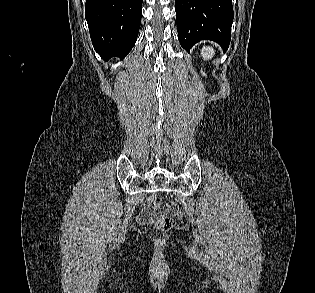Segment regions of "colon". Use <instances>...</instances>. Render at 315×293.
Listing matches in <instances>:
<instances>
[{
    "label": "colon",
    "instance_id": "colon-1",
    "mask_svg": "<svg viewBox=\"0 0 315 293\" xmlns=\"http://www.w3.org/2000/svg\"><path fill=\"white\" fill-rule=\"evenodd\" d=\"M149 203L151 205H158L162 208L163 211H166L169 214H177L178 208L175 204L169 203V204H163L161 196L159 195H153L149 199ZM155 227L162 231V232H168L173 229L175 226V221L170 216H163L161 218H158L155 222Z\"/></svg>",
    "mask_w": 315,
    "mask_h": 293
}]
</instances>
